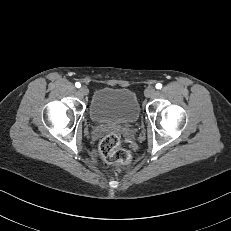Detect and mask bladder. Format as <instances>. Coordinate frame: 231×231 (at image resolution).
<instances>
[{"mask_svg":"<svg viewBox=\"0 0 231 231\" xmlns=\"http://www.w3.org/2000/svg\"><path fill=\"white\" fill-rule=\"evenodd\" d=\"M139 115L136 94L128 88H100L89 106V116L96 124L128 126L136 123Z\"/></svg>","mask_w":231,"mask_h":231,"instance_id":"obj_1","label":"bladder"}]
</instances>
